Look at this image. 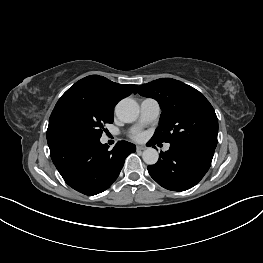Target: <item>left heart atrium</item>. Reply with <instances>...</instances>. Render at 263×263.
<instances>
[{"instance_id": "39dd6f15", "label": "left heart atrium", "mask_w": 263, "mask_h": 263, "mask_svg": "<svg viewBox=\"0 0 263 263\" xmlns=\"http://www.w3.org/2000/svg\"><path fill=\"white\" fill-rule=\"evenodd\" d=\"M142 133H140V132H135L134 134H133V138L134 139H136V140H140L141 138H142Z\"/></svg>"}]
</instances>
